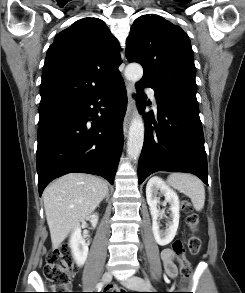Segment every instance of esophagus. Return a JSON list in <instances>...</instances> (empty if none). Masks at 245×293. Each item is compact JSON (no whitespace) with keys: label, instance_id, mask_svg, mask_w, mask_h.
Instances as JSON below:
<instances>
[{"label":"esophagus","instance_id":"1","mask_svg":"<svg viewBox=\"0 0 245 293\" xmlns=\"http://www.w3.org/2000/svg\"><path fill=\"white\" fill-rule=\"evenodd\" d=\"M123 66H124V64H123ZM126 90H127L128 104H127V110H126V114H125L124 121H123L124 136L127 135L129 123H130V120L133 116V110H134L133 94L135 91L134 85L127 81L126 82Z\"/></svg>","mask_w":245,"mask_h":293}]
</instances>
